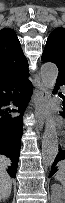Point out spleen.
<instances>
[{
  "instance_id": "3e777b00",
  "label": "spleen",
  "mask_w": 65,
  "mask_h": 203,
  "mask_svg": "<svg viewBox=\"0 0 65 203\" xmlns=\"http://www.w3.org/2000/svg\"><path fill=\"white\" fill-rule=\"evenodd\" d=\"M55 179L58 180L61 184H65V165L61 163L59 166V170L55 175Z\"/></svg>"
}]
</instances>
